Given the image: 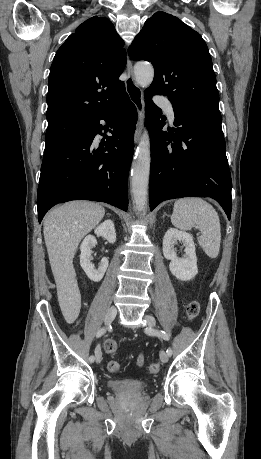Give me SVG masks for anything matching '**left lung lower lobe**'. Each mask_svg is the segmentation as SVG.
Masks as SVG:
<instances>
[{"instance_id":"left-lung-lower-lobe-1","label":"left lung lower lobe","mask_w":261,"mask_h":459,"mask_svg":"<svg viewBox=\"0 0 261 459\" xmlns=\"http://www.w3.org/2000/svg\"><path fill=\"white\" fill-rule=\"evenodd\" d=\"M146 91V120L150 131V210L164 200L211 197L230 219L231 175L221 116L197 115L174 108L175 126L162 131L165 119ZM169 141V142H167Z\"/></svg>"}]
</instances>
